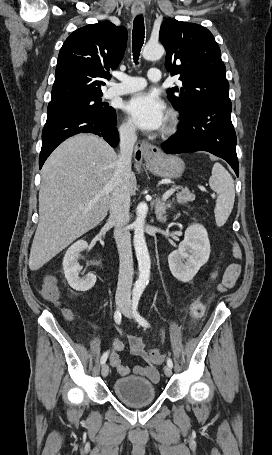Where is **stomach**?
Listing matches in <instances>:
<instances>
[{"label": "stomach", "instance_id": "stomach-1", "mask_svg": "<svg viewBox=\"0 0 272 455\" xmlns=\"http://www.w3.org/2000/svg\"><path fill=\"white\" fill-rule=\"evenodd\" d=\"M146 166L153 174L171 179L179 178L185 170L184 161L175 155H159L147 160Z\"/></svg>", "mask_w": 272, "mask_h": 455}]
</instances>
